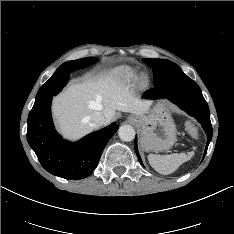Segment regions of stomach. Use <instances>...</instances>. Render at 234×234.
Segmentation results:
<instances>
[{"label":"stomach","instance_id":"obj_1","mask_svg":"<svg viewBox=\"0 0 234 234\" xmlns=\"http://www.w3.org/2000/svg\"><path fill=\"white\" fill-rule=\"evenodd\" d=\"M132 118L141 128L140 146L143 151H165L176 142V125L165 104L158 103L147 115Z\"/></svg>","mask_w":234,"mask_h":234}]
</instances>
